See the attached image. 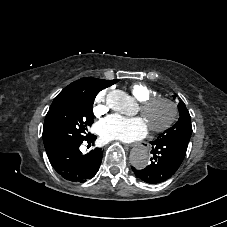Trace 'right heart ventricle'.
Returning <instances> with one entry per match:
<instances>
[{
  "label": "right heart ventricle",
  "instance_id": "right-heart-ventricle-1",
  "mask_svg": "<svg viewBox=\"0 0 227 227\" xmlns=\"http://www.w3.org/2000/svg\"><path fill=\"white\" fill-rule=\"evenodd\" d=\"M130 93L133 98L139 103L144 102L150 97L157 96L158 92L154 89L149 88L143 83L135 82L130 86Z\"/></svg>",
  "mask_w": 227,
  "mask_h": 227
}]
</instances>
